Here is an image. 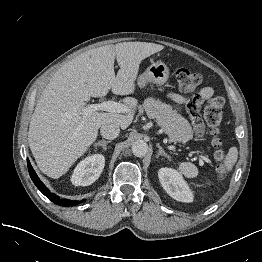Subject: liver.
Masks as SVG:
<instances>
[{
  "label": "liver",
  "mask_w": 262,
  "mask_h": 262,
  "mask_svg": "<svg viewBox=\"0 0 262 262\" xmlns=\"http://www.w3.org/2000/svg\"><path fill=\"white\" fill-rule=\"evenodd\" d=\"M164 49L147 42H123L84 52L64 64L50 79L31 117L28 142L39 169L57 179L65 174L97 138L103 124L126 129L133 121L137 100L123 99L127 113L84 109L91 97L135 91L140 63ZM115 58L120 67L114 72Z\"/></svg>",
  "instance_id": "obj_1"
}]
</instances>
